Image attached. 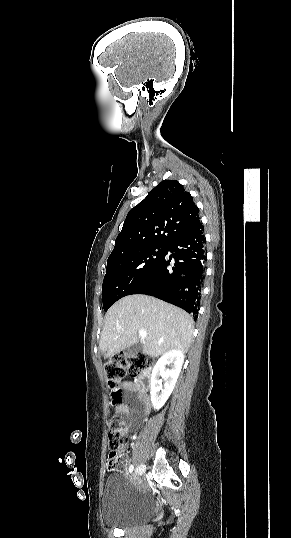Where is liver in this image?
Instances as JSON below:
<instances>
[{"instance_id": "1", "label": "liver", "mask_w": 291, "mask_h": 538, "mask_svg": "<svg viewBox=\"0 0 291 538\" xmlns=\"http://www.w3.org/2000/svg\"><path fill=\"white\" fill-rule=\"evenodd\" d=\"M193 318L185 311L152 296H126L105 315L99 347L105 357L139 342V330L147 333L143 353L158 357L169 350L186 353L193 338Z\"/></svg>"}]
</instances>
